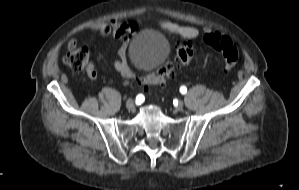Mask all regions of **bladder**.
I'll list each match as a JSON object with an SVG mask.
<instances>
[{
	"label": "bladder",
	"mask_w": 299,
	"mask_h": 190,
	"mask_svg": "<svg viewBox=\"0 0 299 190\" xmlns=\"http://www.w3.org/2000/svg\"><path fill=\"white\" fill-rule=\"evenodd\" d=\"M168 52V43L160 33L146 31L134 37L128 56L135 70L149 73L163 62Z\"/></svg>",
	"instance_id": "obj_1"
}]
</instances>
